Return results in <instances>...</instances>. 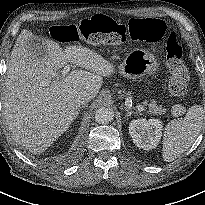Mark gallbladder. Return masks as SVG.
<instances>
[{
    "mask_svg": "<svg viewBox=\"0 0 205 205\" xmlns=\"http://www.w3.org/2000/svg\"><path fill=\"white\" fill-rule=\"evenodd\" d=\"M29 45L31 46V49L33 51H36V53H40L41 56H44L46 51L44 50V47L38 40H31L28 42Z\"/></svg>",
    "mask_w": 205,
    "mask_h": 205,
    "instance_id": "1",
    "label": "gallbladder"
}]
</instances>
